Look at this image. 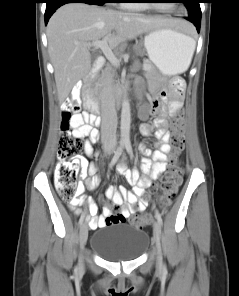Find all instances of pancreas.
<instances>
[{"label":"pancreas","instance_id":"cf45deb5","mask_svg":"<svg viewBox=\"0 0 239 296\" xmlns=\"http://www.w3.org/2000/svg\"><path fill=\"white\" fill-rule=\"evenodd\" d=\"M147 66L149 68L146 72L147 77H153L158 74L157 70L155 69V67L151 63H148Z\"/></svg>","mask_w":239,"mask_h":296}]
</instances>
